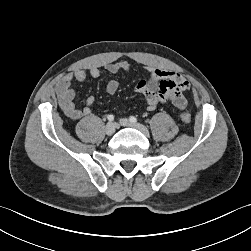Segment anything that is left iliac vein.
Returning a JSON list of instances; mask_svg holds the SVG:
<instances>
[{
	"label": "left iliac vein",
	"instance_id": "obj_1",
	"mask_svg": "<svg viewBox=\"0 0 251 251\" xmlns=\"http://www.w3.org/2000/svg\"><path fill=\"white\" fill-rule=\"evenodd\" d=\"M120 124L124 127L135 128V129L139 130L140 132H142L145 136H149L148 129L140 123H134L126 118H123V119H120Z\"/></svg>",
	"mask_w": 251,
	"mask_h": 251
}]
</instances>
